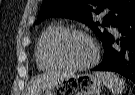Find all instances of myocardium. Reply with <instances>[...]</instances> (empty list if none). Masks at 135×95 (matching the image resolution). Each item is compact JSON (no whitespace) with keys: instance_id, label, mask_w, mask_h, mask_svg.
I'll list each match as a JSON object with an SVG mask.
<instances>
[{"instance_id":"myocardium-1","label":"myocardium","mask_w":135,"mask_h":95,"mask_svg":"<svg viewBox=\"0 0 135 95\" xmlns=\"http://www.w3.org/2000/svg\"><path fill=\"white\" fill-rule=\"evenodd\" d=\"M72 36L84 37L91 42L94 49V55H93V58L89 62L85 64H81V65H72V64L66 63L60 57L59 48L61 44L63 43L65 39ZM49 55H50V58L53 60V62H55L59 67L69 69V70L79 71V70H85L92 67L99 59L100 50L94 38L90 36L88 33L81 30H77V29H71V30H63L51 41L49 45Z\"/></svg>"}]
</instances>
